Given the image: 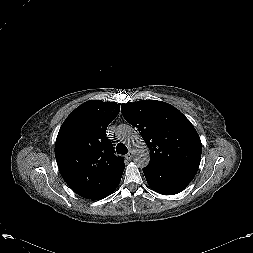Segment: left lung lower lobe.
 <instances>
[{"mask_svg":"<svg viewBox=\"0 0 253 253\" xmlns=\"http://www.w3.org/2000/svg\"><path fill=\"white\" fill-rule=\"evenodd\" d=\"M198 168L184 164L149 162L143 169L148 185L157 193L174 195L183 191L193 180Z\"/></svg>","mask_w":253,"mask_h":253,"instance_id":"0a47b994","label":"left lung lower lobe"}]
</instances>
